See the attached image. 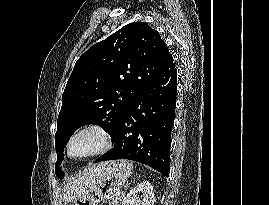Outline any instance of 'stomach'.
<instances>
[{
  "instance_id": "1",
  "label": "stomach",
  "mask_w": 269,
  "mask_h": 205,
  "mask_svg": "<svg viewBox=\"0 0 269 205\" xmlns=\"http://www.w3.org/2000/svg\"><path fill=\"white\" fill-rule=\"evenodd\" d=\"M130 161H112L98 177L94 188L85 195L73 200L71 205H112L119 198L120 190L132 174Z\"/></svg>"
}]
</instances>
